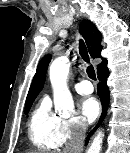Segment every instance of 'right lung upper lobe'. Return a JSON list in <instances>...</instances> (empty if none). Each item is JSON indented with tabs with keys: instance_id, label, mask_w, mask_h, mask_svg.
Returning <instances> with one entry per match:
<instances>
[{
	"instance_id": "cb5924a9",
	"label": "right lung upper lobe",
	"mask_w": 130,
	"mask_h": 153,
	"mask_svg": "<svg viewBox=\"0 0 130 153\" xmlns=\"http://www.w3.org/2000/svg\"><path fill=\"white\" fill-rule=\"evenodd\" d=\"M80 33L85 39L91 57H101L100 54L102 49V34L99 32L96 26L89 20H83L80 24ZM50 61L51 55L48 54L44 56L39 62L36 74L33 78L31 87L26 98V103L34 101L39 92L42 90L45 82L47 67ZM106 62V59H102V62L97 66V72H99L104 66H106Z\"/></svg>"
}]
</instances>
